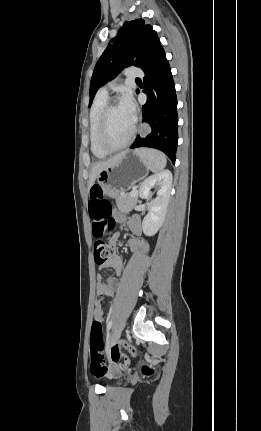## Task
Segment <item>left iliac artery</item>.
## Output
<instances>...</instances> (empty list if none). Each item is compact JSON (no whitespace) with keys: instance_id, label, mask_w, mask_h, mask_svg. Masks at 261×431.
Segmentation results:
<instances>
[{"instance_id":"44dca946","label":"left iliac artery","mask_w":261,"mask_h":431,"mask_svg":"<svg viewBox=\"0 0 261 431\" xmlns=\"http://www.w3.org/2000/svg\"><path fill=\"white\" fill-rule=\"evenodd\" d=\"M111 326H112V321L111 320H107V326H106V331H107V333H109V331H110V329H111Z\"/></svg>"}]
</instances>
